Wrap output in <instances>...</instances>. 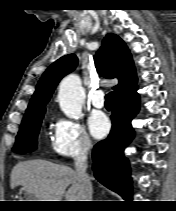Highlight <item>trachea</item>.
<instances>
[{
	"instance_id": "3493384b",
	"label": "trachea",
	"mask_w": 176,
	"mask_h": 211,
	"mask_svg": "<svg viewBox=\"0 0 176 211\" xmlns=\"http://www.w3.org/2000/svg\"><path fill=\"white\" fill-rule=\"evenodd\" d=\"M106 102L112 103L113 102V93L110 92L105 96Z\"/></svg>"
}]
</instances>
